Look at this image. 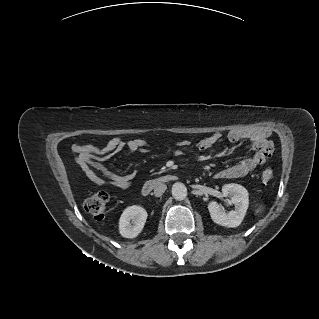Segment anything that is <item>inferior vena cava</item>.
<instances>
[{"instance_id": "obj_1", "label": "inferior vena cava", "mask_w": 319, "mask_h": 319, "mask_svg": "<svg viewBox=\"0 0 319 319\" xmlns=\"http://www.w3.org/2000/svg\"><path fill=\"white\" fill-rule=\"evenodd\" d=\"M167 189L166 184H158L155 188H154V195L155 197H160Z\"/></svg>"}]
</instances>
